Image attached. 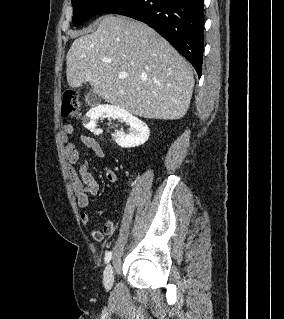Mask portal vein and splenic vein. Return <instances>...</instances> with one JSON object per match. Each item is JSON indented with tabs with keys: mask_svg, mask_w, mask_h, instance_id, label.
<instances>
[{
	"mask_svg": "<svg viewBox=\"0 0 284 319\" xmlns=\"http://www.w3.org/2000/svg\"><path fill=\"white\" fill-rule=\"evenodd\" d=\"M125 77H126V75H125V74H123V75H121V76H120V78H125Z\"/></svg>",
	"mask_w": 284,
	"mask_h": 319,
	"instance_id": "18ae733b",
	"label": "portal vein and splenic vein"
}]
</instances>
